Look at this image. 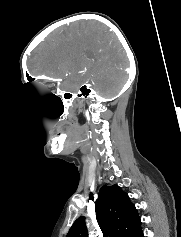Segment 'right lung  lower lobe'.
<instances>
[{
  "label": "right lung lower lobe",
  "mask_w": 181,
  "mask_h": 237,
  "mask_svg": "<svg viewBox=\"0 0 181 237\" xmlns=\"http://www.w3.org/2000/svg\"><path fill=\"white\" fill-rule=\"evenodd\" d=\"M138 237H144L143 232H141L140 235H138Z\"/></svg>",
  "instance_id": "right-lung-lower-lobe-1"
}]
</instances>
